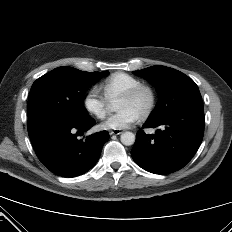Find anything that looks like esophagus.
Segmentation results:
<instances>
[{"label":"esophagus","mask_w":232,"mask_h":232,"mask_svg":"<svg viewBox=\"0 0 232 232\" xmlns=\"http://www.w3.org/2000/svg\"><path fill=\"white\" fill-rule=\"evenodd\" d=\"M121 133H122L121 130H110V131H109V134H110V135H119V134H121Z\"/></svg>","instance_id":"obj_1"}]
</instances>
